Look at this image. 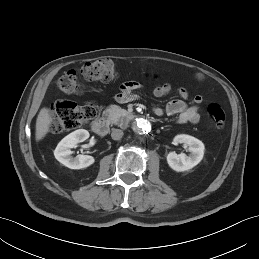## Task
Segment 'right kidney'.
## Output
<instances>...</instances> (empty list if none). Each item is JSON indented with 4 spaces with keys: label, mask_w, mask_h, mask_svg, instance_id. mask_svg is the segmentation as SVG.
<instances>
[{
    "label": "right kidney",
    "mask_w": 259,
    "mask_h": 259,
    "mask_svg": "<svg viewBox=\"0 0 259 259\" xmlns=\"http://www.w3.org/2000/svg\"><path fill=\"white\" fill-rule=\"evenodd\" d=\"M89 138V132L85 129H78L64 137L54 150L55 158L64 166L70 169H82L92 165L95 159L89 155H77L72 157L71 148Z\"/></svg>",
    "instance_id": "ca27d5eb"
}]
</instances>
